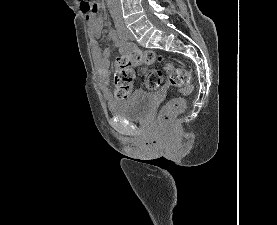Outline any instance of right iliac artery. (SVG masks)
<instances>
[{"label": "right iliac artery", "mask_w": 277, "mask_h": 225, "mask_svg": "<svg viewBox=\"0 0 277 225\" xmlns=\"http://www.w3.org/2000/svg\"><path fill=\"white\" fill-rule=\"evenodd\" d=\"M115 28H116V31H117L118 36L120 37V39L123 40V41H127L128 38L124 33L123 23L121 21H116Z\"/></svg>", "instance_id": "obj_1"}]
</instances>
